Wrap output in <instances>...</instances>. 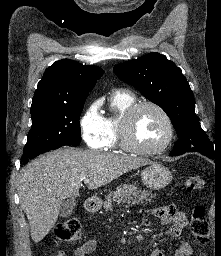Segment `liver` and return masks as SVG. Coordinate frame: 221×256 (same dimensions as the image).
Masks as SVG:
<instances>
[{
    "label": "liver",
    "instance_id": "obj_1",
    "mask_svg": "<svg viewBox=\"0 0 221 256\" xmlns=\"http://www.w3.org/2000/svg\"><path fill=\"white\" fill-rule=\"evenodd\" d=\"M144 158L60 148L32 160L21 169L18 181L20 204L29 220L31 238L40 242L55 225L63 201L79 196L84 179L91 190L124 173L151 164Z\"/></svg>",
    "mask_w": 221,
    "mask_h": 256
}]
</instances>
